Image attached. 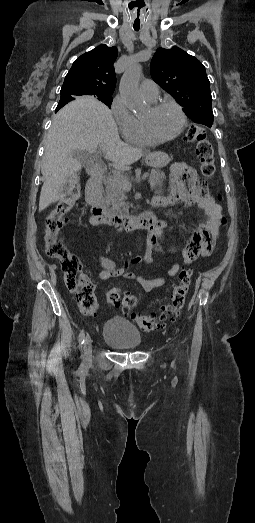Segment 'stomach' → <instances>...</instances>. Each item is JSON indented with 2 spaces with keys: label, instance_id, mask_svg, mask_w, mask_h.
Returning a JSON list of instances; mask_svg holds the SVG:
<instances>
[{
  "label": "stomach",
  "instance_id": "1",
  "mask_svg": "<svg viewBox=\"0 0 255 523\" xmlns=\"http://www.w3.org/2000/svg\"><path fill=\"white\" fill-rule=\"evenodd\" d=\"M171 158V155L168 151H159L157 154L154 152V154H147L145 156V162L147 166H151V168H163L165 166V162H168Z\"/></svg>",
  "mask_w": 255,
  "mask_h": 523
}]
</instances>
